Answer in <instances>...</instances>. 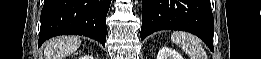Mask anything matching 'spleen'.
Returning a JSON list of instances; mask_svg holds the SVG:
<instances>
[{
	"instance_id": "1",
	"label": "spleen",
	"mask_w": 261,
	"mask_h": 59,
	"mask_svg": "<svg viewBox=\"0 0 261 59\" xmlns=\"http://www.w3.org/2000/svg\"><path fill=\"white\" fill-rule=\"evenodd\" d=\"M171 40L178 45L190 59H205L206 52L197 37L185 32H173Z\"/></svg>"
}]
</instances>
